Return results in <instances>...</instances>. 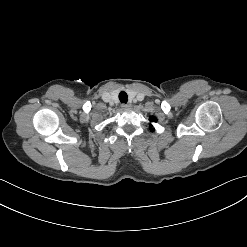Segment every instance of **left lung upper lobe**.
Returning a JSON list of instances; mask_svg holds the SVG:
<instances>
[{
    "instance_id": "5c2ea615",
    "label": "left lung upper lobe",
    "mask_w": 247,
    "mask_h": 247,
    "mask_svg": "<svg viewBox=\"0 0 247 247\" xmlns=\"http://www.w3.org/2000/svg\"><path fill=\"white\" fill-rule=\"evenodd\" d=\"M149 120H150L151 122H157V119H156L154 116H151V117L149 118ZM150 129H151V131H154V128H152V126H150Z\"/></svg>"
}]
</instances>
